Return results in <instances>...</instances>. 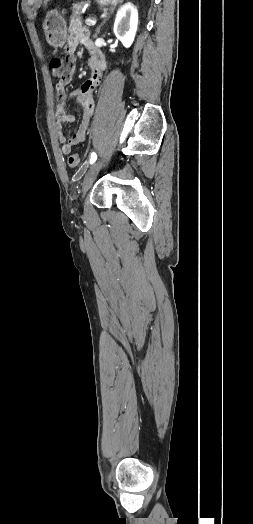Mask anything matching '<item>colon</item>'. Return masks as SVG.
Instances as JSON below:
<instances>
[{
	"instance_id": "5ec220e1",
	"label": "colon",
	"mask_w": 253,
	"mask_h": 524,
	"mask_svg": "<svg viewBox=\"0 0 253 524\" xmlns=\"http://www.w3.org/2000/svg\"><path fill=\"white\" fill-rule=\"evenodd\" d=\"M68 63L60 58L51 59L49 62V67L51 69L52 77L55 80L60 81V76L62 73L67 71ZM68 166L70 168H76L80 165V157L76 153H72L68 156L67 159Z\"/></svg>"
}]
</instances>
